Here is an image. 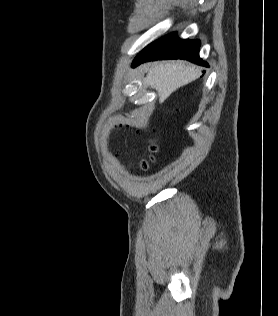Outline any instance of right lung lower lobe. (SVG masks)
Returning <instances> with one entry per match:
<instances>
[{
	"label": "right lung lower lobe",
	"mask_w": 278,
	"mask_h": 316,
	"mask_svg": "<svg viewBox=\"0 0 278 316\" xmlns=\"http://www.w3.org/2000/svg\"><path fill=\"white\" fill-rule=\"evenodd\" d=\"M199 40H182L177 33L168 34L144 48L134 59L132 67L151 60L186 59L193 63L208 66L199 57Z\"/></svg>",
	"instance_id": "obj_1"
}]
</instances>
